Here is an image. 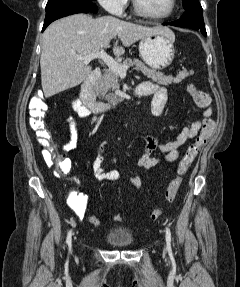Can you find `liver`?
I'll use <instances>...</instances> for the list:
<instances>
[{"instance_id":"1","label":"liver","mask_w":240,"mask_h":287,"mask_svg":"<svg viewBox=\"0 0 240 287\" xmlns=\"http://www.w3.org/2000/svg\"><path fill=\"white\" fill-rule=\"evenodd\" d=\"M157 34H173L164 26L148 27L112 16L94 19L75 14L50 24L43 33L40 57L41 84L46 98L81 84L90 74L91 66L76 55L85 56L110 47L118 37L124 47ZM115 55L125 49L115 45Z\"/></svg>"}]
</instances>
